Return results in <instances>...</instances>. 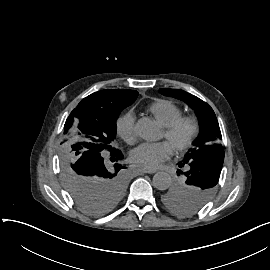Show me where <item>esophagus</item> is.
Segmentation results:
<instances>
[{
	"label": "esophagus",
	"mask_w": 270,
	"mask_h": 270,
	"mask_svg": "<svg viewBox=\"0 0 270 270\" xmlns=\"http://www.w3.org/2000/svg\"><path fill=\"white\" fill-rule=\"evenodd\" d=\"M141 173H149V174H152V173H155L156 172V169L155 168H143L140 170Z\"/></svg>",
	"instance_id": "1"
}]
</instances>
